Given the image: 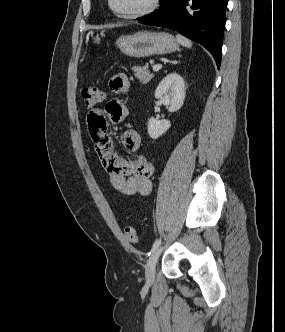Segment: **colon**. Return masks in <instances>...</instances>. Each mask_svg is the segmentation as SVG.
I'll use <instances>...</instances> for the list:
<instances>
[{"label": "colon", "instance_id": "5ec220e1", "mask_svg": "<svg viewBox=\"0 0 285 332\" xmlns=\"http://www.w3.org/2000/svg\"><path fill=\"white\" fill-rule=\"evenodd\" d=\"M82 97L85 107L93 111L104 100V92L98 87L90 86L82 91ZM124 234L131 243H135L138 240L137 230L132 225L126 226Z\"/></svg>", "mask_w": 285, "mask_h": 332}]
</instances>
